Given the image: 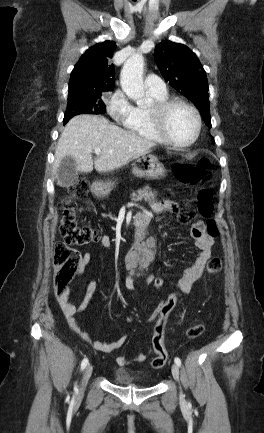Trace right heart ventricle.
<instances>
[{
  "instance_id": "1",
  "label": "right heart ventricle",
  "mask_w": 264,
  "mask_h": 433,
  "mask_svg": "<svg viewBox=\"0 0 264 433\" xmlns=\"http://www.w3.org/2000/svg\"><path fill=\"white\" fill-rule=\"evenodd\" d=\"M150 94L155 102H161L168 99L167 93L154 94L150 92ZM126 127L131 133L141 138L163 143V140L153 126L149 109L137 107L133 120L126 124Z\"/></svg>"
}]
</instances>
